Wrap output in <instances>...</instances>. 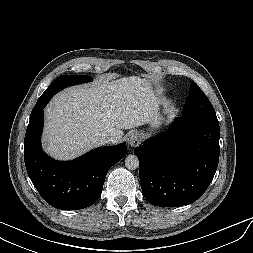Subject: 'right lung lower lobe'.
Listing matches in <instances>:
<instances>
[{
  "instance_id": "right-lung-lower-lobe-1",
  "label": "right lung lower lobe",
  "mask_w": 253,
  "mask_h": 253,
  "mask_svg": "<svg viewBox=\"0 0 253 253\" xmlns=\"http://www.w3.org/2000/svg\"><path fill=\"white\" fill-rule=\"evenodd\" d=\"M43 108L30 116L24 139L28 175L42 198L63 210L83 209L101 195L109 169L126 155V144L100 147L69 162L55 161L41 149Z\"/></svg>"
}]
</instances>
